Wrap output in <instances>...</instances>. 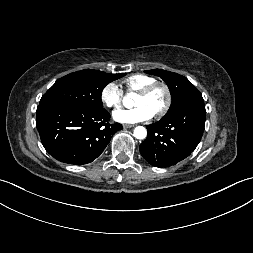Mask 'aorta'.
<instances>
[{"mask_svg":"<svg viewBox=\"0 0 253 253\" xmlns=\"http://www.w3.org/2000/svg\"><path fill=\"white\" fill-rule=\"evenodd\" d=\"M132 94H128L123 99V104L125 107L130 108L133 106V101L131 100ZM147 136V130L143 126H137L134 129V137L137 139H144Z\"/></svg>","mask_w":253,"mask_h":253,"instance_id":"762f6f07","label":"aorta"}]
</instances>
